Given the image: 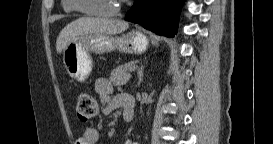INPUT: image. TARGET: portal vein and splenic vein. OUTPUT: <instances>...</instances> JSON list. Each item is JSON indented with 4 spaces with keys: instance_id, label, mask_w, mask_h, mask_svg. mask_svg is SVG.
<instances>
[{
    "instance_id": "1",
    "label": "portal vein and splenic vein",
    "mask_w": 273,
    "mask_h": 144,
    "mask_svg": "<svg viewBox=\"0 0 273 144\" xmlns=\"http://www.w3.org/2000/svg\"><path fill=\"white\" fill-rule=\"evenodd\" d=\"M138 67L136 65L129 68L130 72H134Z\"/></svg>"
}]
</instances>
